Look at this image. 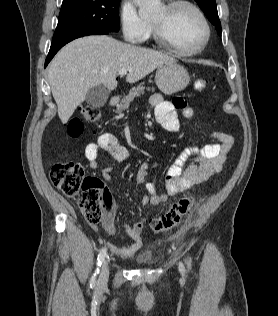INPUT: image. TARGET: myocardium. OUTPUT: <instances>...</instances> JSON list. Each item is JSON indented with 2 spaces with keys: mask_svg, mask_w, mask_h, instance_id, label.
Masks as SVG:
<instances>
[{
  "mask_svg": "<svg viewBox=\"0 0 278 316\" xmlns=\"http://www.w3.org/2000/svg\"><path fill=\"white\" fill-rule=\"evenodd\" d=\"M182 6H187V7L191 8L197 14V16L199 17V19L201 20V22L204 26L205 37H204L202 43L200 44V46H198L197 48L192 49V50H187V49L181 48L173 41V39L171 38L170 34L168 33V31L163 23L151 21L152 34H153L154 39L159 44L171 49L172 51H174L180 55H183V56H194V55L201 53L208 45L210 38H211V27H210V23L205 15V13L203 12V10L193 1H190V0H170L163 7H164L166 13L171 14L176 9H178L179 7H182Z\"/></svg>",
  "mask_w": 278,
  "mask_h": 316,
  "instance_id": "f54148a6",
  "label": "myocardium"
}]
</instances>
